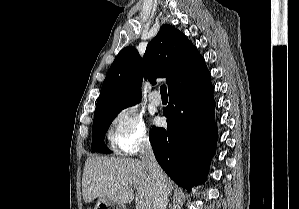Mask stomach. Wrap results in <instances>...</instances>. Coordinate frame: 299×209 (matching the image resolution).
Wrapping results in <instances>:
<instances>
[{
  "label": "stomach",
  "mask_w": 299,
  "mask_h": 209,
  "mask_svg": "<svg viewBox=\"0 0 299 209\" xmlns=\"http://www.w3.org/2000/svg\"><path fill=\"white\" fill-rule=\"evenodd\" d=\"M94 209H125L122 205L98 198Z\"/></svg>",
  "instance_id": "1"
}]
</instances>
